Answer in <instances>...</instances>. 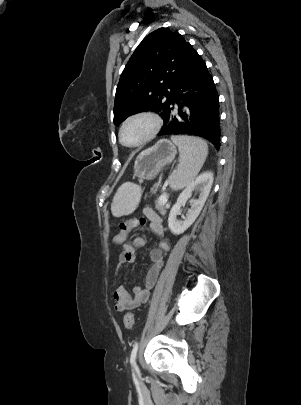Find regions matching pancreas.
Listing matches in <instances>:
<instances>
[{
    "label": "pancreas",
    "instance_id": "obj_1",
    "mask_svg": "<svg viewBox=\"0 0 301 405\" xmlns=\"http://www.w3.org/2000/svg\"><path fill=\"white\" fill-rule=\"evenodd\" d=\"M155 208L162 214L166 212V207L164 202H160L159 200L156 202Z\"/></svg>",
    "mask_w": 301,
    "mask_h": 405
}]
</instances>
